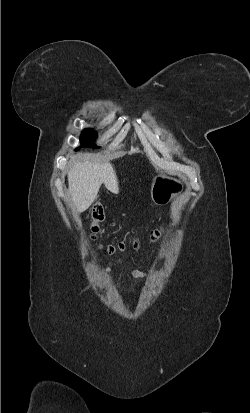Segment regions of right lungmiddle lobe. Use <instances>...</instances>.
I'll return each instance as SVG.
<instances>
[{"instance_id": "right-lung-middle-lobe-1", "label": "right lung middle lobe", "mask_w": 250, "mask_h": 413, "mask_svg": "<svg viewBox=\"0 0 250 413\" xmlns=\"http://www.w3.org/2000/svg\"><path fill=\"white\" fill-rule=\"evenodd\" d=\"M97 137V134L91 130V129H85L82 134H81V143L83 144V146H88V147H93V148H97L94 146V141ZM76 150H79V148H77Z\"/></svg>"}]
</instances>
